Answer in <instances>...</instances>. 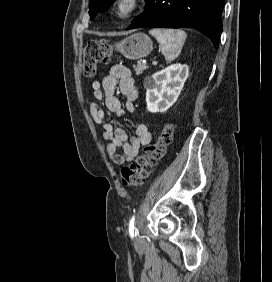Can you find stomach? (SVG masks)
Here are the masks:
<instances>
[{
  "label": "stomach",
  "mask_w": 272,
  "mask_h": 282,
  "mask_svg": "<svg viewBox=\"0 0 272 282\" xmlns=\"http://www.w3.org/2000/svg\"><path fill=\"white\" fill-rule=\"evenodd\" d=\"M113 47L127 59L136 60L149 55L153 49V43L146 34L135 33L115 43Z\"/></svg>",
  "instance_id": "0dacf381"
}]
</instances>
